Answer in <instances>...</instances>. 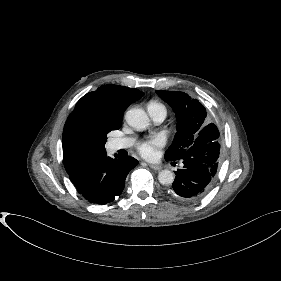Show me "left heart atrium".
<instances>
[{"label":"left heart atrium","mask_w":281,"mask_h":281,"mask_svg":"<svg viewBox=\"0 0 281 281\" xmlns=\"http://www.w3.org/2000/svg\"><path fill=\"white\" fill-rule=\"evenodd\" d=\"M163 139L160 137H156L147 141L142 142L138 150L140 154L145 158H154L156 156L157 148L163 146Z\"/></svg>","instance_id":"39dd6f15"}]
</instances>
